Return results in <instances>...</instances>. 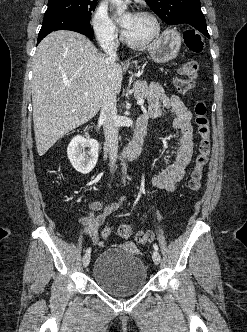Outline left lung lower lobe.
Returning a JSON list of instances; mask_svg holds the SVG:
<instances>
[{"label":"left lung lower lobe","mask_w":247,"mask_h":332,"mask_svg":"<svg viewBox=\"0 0 247 332\" xmlns=\"http://www.w3.org/2000/svg\"><path fill=\"white\" fill-rule=\"evenodd\" d=\"M196 30H198L199 32H201L202 34H204L207 38L209 37V33L207 31V27H206V23H200L196 26Z\"/></svg>","instance_id":"obj_1"}]
</instances>
